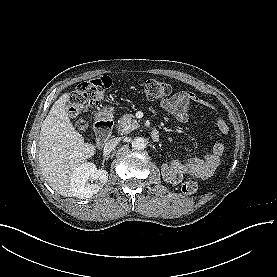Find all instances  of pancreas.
I'll use <instances>...</instances> for the list:
<instances>
[{
	"instance_id": "1",
	"label": "pancreas",
	"mask_w": 277,
	"mask_h": 277,
	"mask_svg": "<svg viewBox=\"0 0 277 277\" xmlns=\"http://www.w3.org/2000/svg\"><path fill=\"white\" fill-rule=\"evenodd\" d=\"M138 126L139 124L136 121L134 115L125 114L118 120L117 129L118 132L126 134L138 128Z\"/></svg>"
}]
</instances>
